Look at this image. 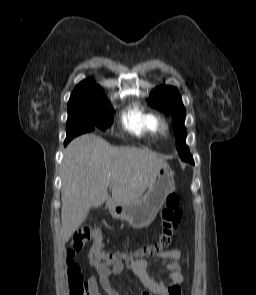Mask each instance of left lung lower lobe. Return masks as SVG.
<instances>
[{
	"label": "left lung lower lobe",
	"mask_w": 256,
	"mask_h": 295,
	"mask_svg": "<svg viewBox=\"0 0 256 295\" xmlns=\"http://www.w3.org/2000/svg\"><path fill=\"white\" fill-rule=\"evenodd\" d=\"M186 158H187V161H188V162H190V163H194L193 158H192V156H191L190 153H188V156H187Z\"/></svg>",
	"instance_id": "left-lung-lower-lobe-1"
}]
</instances>
